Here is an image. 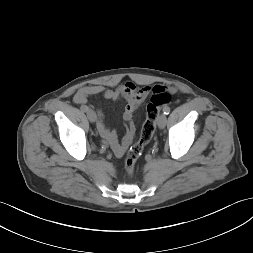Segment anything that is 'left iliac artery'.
<instances>
[{
    "label": "left iliac artery",
    "mask_w": 253,
    "mask_h": 253,
    "mask_svg": "<svg viewBox=\"0 0 253 253\" xmlns=\"http://www.w3.org/2000/svg\"><path fill=\"white\" fill-rule=\"evenodd\" d=\"M163 113L165 114V115H168L169 113H170V108L167 106V107H164L163 108Z\"/></svg>",
    "instance_id": "left-iliac-artery-1"
}]
</instances>
